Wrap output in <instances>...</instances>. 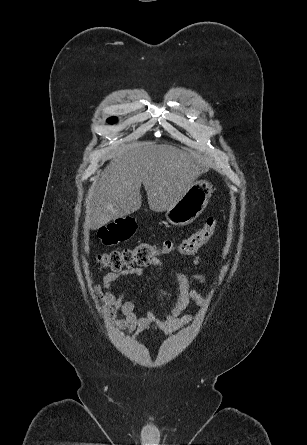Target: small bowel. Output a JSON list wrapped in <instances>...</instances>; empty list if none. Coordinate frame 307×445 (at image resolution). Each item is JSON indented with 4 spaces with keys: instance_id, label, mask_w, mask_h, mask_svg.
<instances>
[{
    "instance_id": "obj_1",
    "label": "small bowel",
    "mask_w": 307,
    "mask_h": 445,
    "mask_svg": "<svg viewBox=\"0 0 307 445\" xmlns=\"http://www.w3.org/2000/svg\"><path fill=\"white\" fill-rule=\"evenodd\" d=\"M193 263L195 265L199 263L198 255L194 257ZM150 265L152 267H160L162 265V261L158 258H154L150 262ZM143 274V268L135 267L119 272H109L103 276L102 284L97 285L95 289L104 304V310L109 319H115L120 312L124 316V320L121 324L127 328L129 333L134 331L142 333L150 326L154 325L166 334L175 332L193 321V316H182V313L185 311L190 302H194L198 305H202L204 303L203 298L193 289L192 284L195 280L206 283L207 277L205 274L195 273L193 275H186L182 272L176 273L179 294L174 306L163 319H157L151 311H147L143 316H139L137 314L136 304L125 299V292L116 295L112 291L113 284L116 281L125 279L124 288H127L129 278L141 277ZM161 294L166 298L170 297L167 292L162 291Z\"/></svg>"
}]
</instances>
